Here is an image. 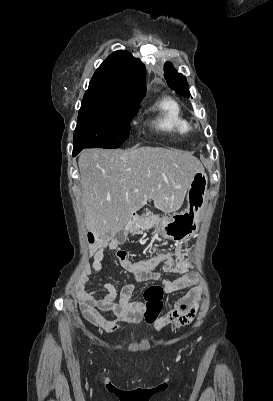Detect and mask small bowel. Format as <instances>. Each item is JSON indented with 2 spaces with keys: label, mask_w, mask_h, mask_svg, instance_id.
<instances>
[{
  "label": "small bowel",
  "mask_w": 273,
  "mask_h": 401,
  "mask_svg": "<svg viewBox=\"0 0 273 401\" xmlns=\"http://www.w3.org/2000/svg\"><path fill=\"white\" fill-rule=\"evenodd\" d=\"M106 251H114L119 266L131 275V279L119 290L114 284L104 281L100 276ZM190 255L191 251L180 245L172 252L132 261L126 250L118 248L117 241L98 243L95 246V253L92 254L93 262L86 265L83 271L96 276L97 283L105 295L98 296L95 290H83L78 298L83 315L101 330L112 334L121 332L120 323H141L146 304L142 301H132L135 283L159 282L166 293H174L189 287L196 280V275L189 270ZM158 268H161L164 273L180 274V277L168 280L162 276ZM202 295L201 285L190 288L187 294L175 303L172 310L153 324V330L174 331L190 323L202 302ZM102 313H110L114 318L106 319Z\"/></svg>",
  "instance_id": "obj_1"
}]
</instances>
